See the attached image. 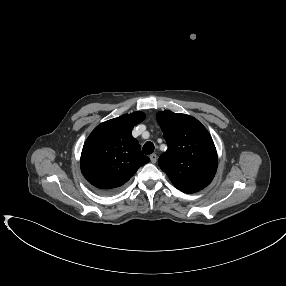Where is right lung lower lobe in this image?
Segmentation results:
<instances>
[{
  "label": "right lung lower lobe",
  "mask_w": 286,
  "mask_h": 286,
  "mask_svg": "<svg viewBox=\"0 0 286 286\" xmlns=\"http://www.w3.org/2000/svg\"><path fill=\"white\" fill-rule=\"evenodd\" d=\"M97 192H99L101 194H109V193H105V192H102V191H99V190H97Z\"/></svg>",
  "instance_id": "98d812e1"
}]
</instances>
